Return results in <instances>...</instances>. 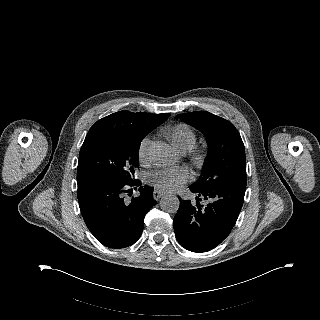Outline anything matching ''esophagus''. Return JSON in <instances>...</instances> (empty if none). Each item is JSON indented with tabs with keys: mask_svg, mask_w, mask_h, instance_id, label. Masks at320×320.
<instances>
[{
	"mask_svg": "<svg viewBox=\"0 0 320 320\" xmlns=\"http://www.w3.org/2000/svg\"><path fill=\"white\" fill-rule=\"evenodd\" d=\"M165 194V192L161 189H155L153 192V197L158 200L160 199L163 195Z\"/></svg>",
	"mask_w": 320,
	"mask_h": 320,
	"instance_id": "esophagus-1",
	"label": "esophagus"
}]
</instances>
